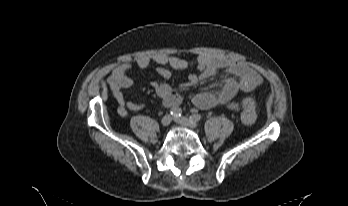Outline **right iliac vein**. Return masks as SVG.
I'll return each instance as SVG.
<instances>
[{"mask_svg": "<svg viewBox=\"0 0 348 206\" xmlns=\"http://www.w3.org/2000/svg\"><path fill=\"white\" fill-rule=\"evenodd\" d=\"M172 121V117L170 115H165L162 120L161 123L163 126H168Z\"/></svg>", "mask_w": 348, "mask_h": 206, "instance_id": "63e3f726", "label": "right iliac vein"}]
</instances>
